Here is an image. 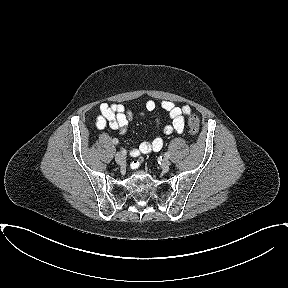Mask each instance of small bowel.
I'll list each match as a JSON object with an SVG mask.
<instances>
[{"instance_id": "obj_1", "label": "small bowel", "mask_w": 288, "mask_h": 288, "mask_svg": "<svg viewBox=\"0 0 288 288\" xmlns=\"http://www.w3.org/2000/svg\"><path fill=\"white\" fill-rule=\"evenodd\" d=\"M156 103L153 100H148L145 104V109L149 112L156 109ZM161 108L165 110L171 123L165 126H161L160 120L156 119L155 128L157 131H161L164 135H170L173 132L182 133L185 125V117L191 114V107L189 105L179 106L171 101H162ZM99 115L96 118V126L99 129H103L109 126L112 130L123 133L133 118L134 113L130 109H126L122 104H107L103 103L99 107ZM163 138L156 136L151 141H144L137 147L131 149V155L138 157L141 154H149L151 152H158L163 148Z\"/></svg>"}]
</instances>
